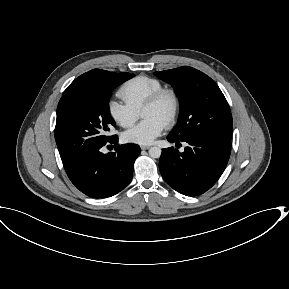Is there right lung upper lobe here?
I'll use <instances>...</instances> for the list:
<instances>
[{
    "label": "right lung upper lobe",
    "mask_w": 289,
    "mask_h": 289,
    "mask_svg": "<svg viewBox=\"0 0 289 289\" xmlns=\"http://www.w3.org/2000/svg\"><path fill=\"white\" fill-rule=\"evenodd\" d=\"M112 72L101 70V69H93L89 72H86L76 78L66 89L68 90H75L81 88H89L95 86L100 81L110 77Z\"/></svg>",
    "instance_id": "right-lung-upper-lobe-1"
}]
</instances>
